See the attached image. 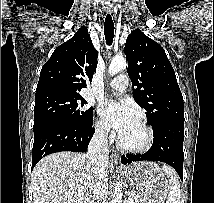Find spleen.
I'll use <instances>...</instances> for the list:
<instances>
[{"label":"spleen","mask_w":214,"mask_h":203,"mask_svg":"<svg viewBox=\"0 0 214 203\" xmlns=\"http://www.w3.org/2000/svg\"><path fill=\"white\" fill-rule=\"evenodd\" d=\"M162 170L168 176L170 182V191L166 203H180L181 190L176 173L168 166H164Z\"/></svg>","instance_id":"1"}]
</instances>
